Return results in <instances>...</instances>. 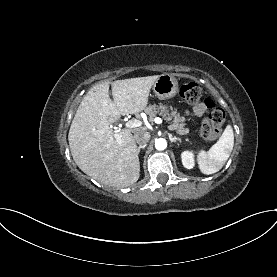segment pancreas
<instances>
[{"label": "pancreas", "instance_id": "cf45deb5", "mask_svg": "<svg viewBox=\"0 0 277 277\" xmlns=\"http://www.w3.org/2000/svg\"><path fill=\"white\" fill-rule=\"evenodd\" d=\"M146 114L149 116L151 121L154 120L155 116L159 114L166 121H170V129L175 130L180 135H185L189 133V129L185 127V117H181L176 110H173L172 107L166 105H149L145 109Z\"/></svg>", "mask_w": 277, "mask_h": 277}]
</instances>
